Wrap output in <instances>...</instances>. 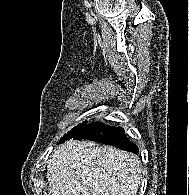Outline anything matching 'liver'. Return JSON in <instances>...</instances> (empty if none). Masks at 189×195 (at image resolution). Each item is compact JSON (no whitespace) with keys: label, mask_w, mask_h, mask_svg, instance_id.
<instances>
[{"label":"liver","mask_w":189,"mask_h":195,"mask_svg":"<svg viewBox=\"0 0 189 195\" xmlns=\"http://www.w3.org/2000/svg\"><path fill=\"white\" fill-rule=\"evenodd\" d=\"M139 158L113 146L69 140L49 162L50 195H137Z\"/></svg>","instance_id":"obj_1"}]
</instances>
